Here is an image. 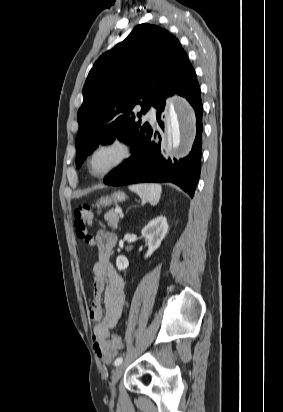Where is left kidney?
<instances>
[{
	"instance_id": "5707ae66",
	"label": "left kidney",
	"mask_w": 283,
	"mask_h": 412,
	"mask_svg": "<svg viewBox=\"0 0 283 412\" xmlns=\"http://www.w3.org/2000/svg\"><path fill=\"white\" fill-rule=\"evenodd\" d=\"M168 232V223L165 217L159 216L150 221L143 229L142 236L148 243V251L145 258L150 257L161 245L162 240ZM118 270H125L129 266V261L125 256H118L116 259Z\"/></svg>"
}]
</instances>
